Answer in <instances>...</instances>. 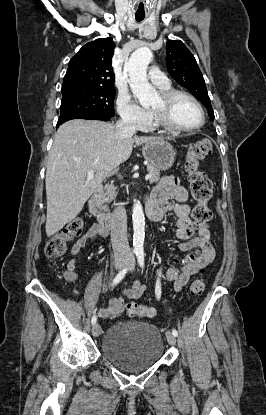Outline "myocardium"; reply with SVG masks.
<instances>
[{
	"instance_id": "myocardium-1",
	"label": "myocardium",
	"mask_w": 266,
	"mask_h": 415,
	"mask_svg": "<svg viewBox=\"0 0 266 415\" xmlns=\"http://www.w3.org/2000/svg\"><path fill=\"white\" fill-rule=\"evenodd\" d=\"M180 96L188 98L196 105L201 115V120L199 124L192 126V127H181V126L174 124L169 119L167 115V109L170 106V104L177 97H180ZM160 98L163 103V108L162 109L152 108V110L155 116L156 123L162 128H164L165 130H168L170 132H176V133H187V132L196 131L205 124L206 122L205 110L202 104L200 103V101L191 93L184 91V90H179V89H167V90H162L160 92Z\"/></svg>"
}]
</instances>
